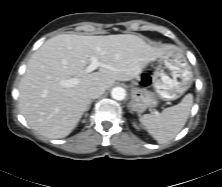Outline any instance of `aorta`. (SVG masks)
<instances>
[{
	"instance_id": "aorta-1",
	"label": "aorta",
	"mask_w": 222,
	"mask_h": 187,
	"mask_svg": "<svg viewBox=\"0 0 222 187\" xmlns=\"http://www.w3.org/2000/svg\"><path fill=\"white\" fill-rule=\"evenodd\" d=\"M111 96L115 100H123L126 96V91L122 87H114L111 91Z\"/></svg>"
}]
</instances>
